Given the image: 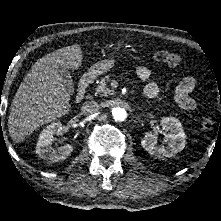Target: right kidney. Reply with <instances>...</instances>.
Returning <instances> with one entry per match:
<instances>
[{
	"mask_svg": "<svg viewBox=\"0 0 221 221\" xmlns=\"http://www.w3.org/2000/svg\"><path fill=\"white\" fill-rule=\"evenodd\" d=\"M63 131V126L60 122L48 125L39 135L36 146L38 156L49 162H58L66 159L74 150L73 145H64L58 148L52 147L54 135H59Z\"/></svg>",
	"mask_w": 221,
	"mask_h": 221,
	"instance_id": "ca27d5eb",
	"label": "right kidney"
}]
</instances>
